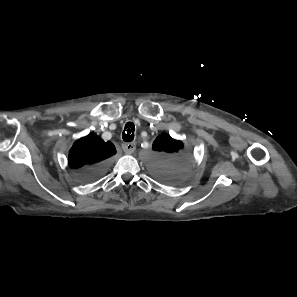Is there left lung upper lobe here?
Segmentation results:
<instances>
[{
	"label": "left lung upper lobe",
	"mask_w": 297,
	"mask_h": 297,
	"mask_svg": "<svg viewBox=\"0 0 297 297\" xmlns=\"http://www.w3.org/2000/svg\"><path fill=\"white\" fill-rule=\"evenodd\" d=\"M152 148L155 153L149 157L150 170L157 179L176 182L185 175L188 156L181 152V141L161 134L153 142Z\"/></svg>",
	"instance_id": "1"
}]
</instances>
